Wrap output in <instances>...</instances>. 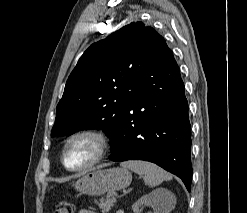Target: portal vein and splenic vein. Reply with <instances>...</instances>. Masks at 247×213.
I'll return each mask as SVG.
<instances>
[{
  "mask_svg": "<svg viewBox=\"0 0 247 213\" xmlns=\"http://www.w3.org/2000/svg\"><path fill=\"white\" fill-rule=\"evenodd\" d=\"M112 201L116 202V197L115 196L112 197Z\"/></svg>",
  "mask_w": 247,
  "mask_h": 213,
  "instance_id": "1",
  "label": "portal vein and splenic vein"
}]
</instances>
